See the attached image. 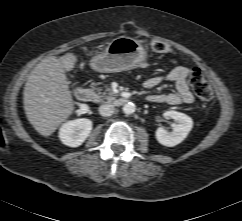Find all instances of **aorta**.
Listing matches in <instances>:
<instances>
[{"instance_id":"1","label":"aorta","mask_w":242,"mask_h":221,"mask_svg":"<svg viewBox=\"0 0 242 221\" xmlns=\"http://www.w3.org/2000/svg\"><path fill=\"white\" fill-rule=\"evenodd\" d=\"M122 110L127 115L132 114L135 112V105L131 102H128V103L124 104Z\"/></svg>"}]
</instances>
